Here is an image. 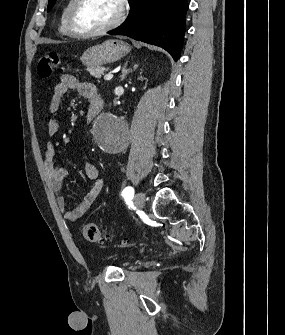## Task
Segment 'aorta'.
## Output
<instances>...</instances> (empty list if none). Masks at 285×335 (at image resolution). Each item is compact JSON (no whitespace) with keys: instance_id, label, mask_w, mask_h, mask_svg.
<instances>
[{"instance_id":"762f6f07","label":"aorta","mask_w":285,"mask_h":335,"mask_svg":"<svg viewBox=\"0 0 285 335\" xmlns=\"http://www.w3.org/2000/svg\"><path fill=\"white\" fill-rule=\"evenodd\" d=\"M89 133L95 137L94 146L102 147V152L113 156L114 152H125L131 130L123 119H116V112H99V119L91 120Z\"/></svg>"}]
</instances>
